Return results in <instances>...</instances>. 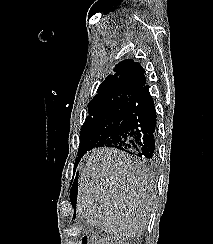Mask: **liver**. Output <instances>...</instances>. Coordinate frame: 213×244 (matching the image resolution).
<instances>
[{
    "instance_id": "6515ba94",
    "label": "liver",
    "mask_w": 213,
    "mask_h": 244,
    "mask_svg": "<svg viewBox=\"0 0 213 244\" xmlns=\"http://www.w3.org/2000/svg\"><path fill=\"white\" fill-rule=\"evenodd\" d=\"M156 196L154 177L141 162L101 148L80 171L76 211L91 227L133 238L145 231Z\"/></svg>"
}]
</instances>
